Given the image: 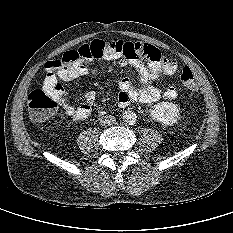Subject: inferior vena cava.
Masks as SVG:
<instances>
[{"mask_svg": "<svg viewBox=\"0 0 233 233\" xmlns=\"http://www.w3.org/2000/svg\"><path fill=\"white\" fill-rule=\"evenodd\" d=\"M116 119L112 115H105L100 119V123L103 126H110L115 123Z\"/></svg>", "mask_w": 233, "mask_h": 233, "instance_id": "1", "label": "inferior vena cava"}]
</instances>
